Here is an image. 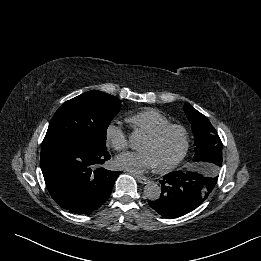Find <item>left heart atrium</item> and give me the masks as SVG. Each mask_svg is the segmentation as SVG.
Segmentation results:
<instances>
[{"label":"left heart atrium","instance_id":"39dd6f15","mask_svg":"<svg viewBox=\"0 0 261 261\" xmlns=\"http://www.w3.org/2000/svg\"><path fill=\"white\" fill-rule=\"evenodd\" d=\"M116 165L135 174L157 167L156 160L149 151L123 153L116 158Z\"/></svg>","mask_w":261,"mask_h":261}]
</instances>
